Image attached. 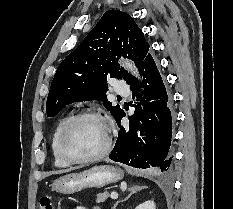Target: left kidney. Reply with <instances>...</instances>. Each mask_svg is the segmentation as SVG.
I'll return each instance as SVG.
<instances>
[{"instance_id": "1", "label": "left kidney", "mask_w": 233, "mask_h": 209, "mask_svg": "<svg viewBox=\"0 0 233 209\" xmlns=\"http://www.w3.org/2000/svg\"><path fill=\"white\" fill-rule=\"evenodd\" d=\"M135 209H156L154 201L148 200L137 206Z\"/></svg>"}]
</instances>
